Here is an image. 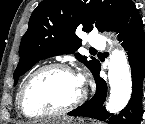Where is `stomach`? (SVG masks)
Here are the masks:
<instances>
[{
  "instance_id": "0dacf381",
  "label": "stomach",
  "mask_w": 145,
  "mask_h": 124,
  "mask_svg": "<svg viewBox=\"0 0 145 124\" xmlns=\"http://www.w3.org/2000/svg\"><path fill=\"white\" fill-rule=\"evenodd\" d=\"M44 124H98V123L87 122V121H84L83 119H70L66 117H62V118L60 117V118L47 121Z\"/></svg>"
}]
</instances>
